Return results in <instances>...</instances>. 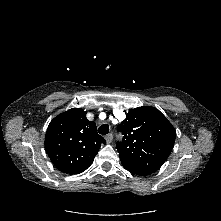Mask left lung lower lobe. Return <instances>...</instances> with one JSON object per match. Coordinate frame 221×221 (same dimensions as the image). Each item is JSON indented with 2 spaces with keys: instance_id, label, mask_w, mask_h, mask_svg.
I'll return each mask as SVG.
<instances>
[{
  "instance_id": "1",
  "label": "left lung lower lobe",
  "mask_w": 221,
  "mask_h": 221,
  "mask_svg": "<svg viewBox=\"0 0 221 221\" xmlns=\"http://www.w3.org/2000/svg\"><path fill=\"white\" fill-rule=\"evenodd\" d=\"M130 171V170H129ZM157 170H153V169H146V170H142V171H130L133 174H137L139 176H145V175H149L152 174L154 172H156Z\"/></svg>"
}]
</instances>
